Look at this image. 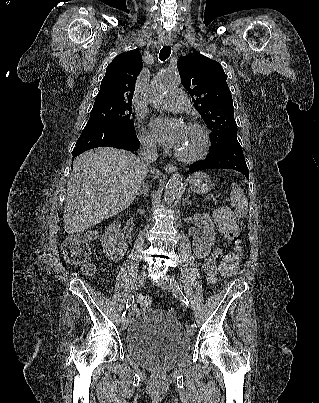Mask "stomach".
Masks as SVG:
<instances>
[{
  "instance_id": "1",
  "label": "stomach",
  "mask_w": 319,
  "mask_h": 403,
  "mask_svg": "<svg viewBox=\"0 0 319 403\" xmlns=\"http://www.w3.org/2000/svg\"><path fill=\"white\" fill-rule=\"evenodd\" d=\"M190 189L197 194H206L212 189V182L204 172H197L188 178Z\"/></svg>"
}]
</instances>
